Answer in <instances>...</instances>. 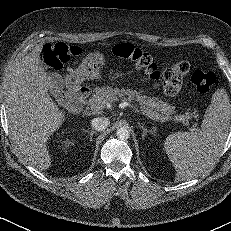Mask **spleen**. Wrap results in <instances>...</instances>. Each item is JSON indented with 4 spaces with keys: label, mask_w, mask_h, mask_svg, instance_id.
Masks as SVG:
<instances>
[{
    "label": "spleen",
    "mask_w": 231,
    "mask_h": 231,
    "mask_svg": "<svg viewBox=\"0 0 231 231\" xmlns=\"http://www.w3.org/2000/svg\"><path fill=\"white\" fill-rule=\"evenodd\" d=\"M231 119V104L222 89L214 93L201 128L195 132L170 134L164 149L178 180L192 179L206 172L220 156Z\"/></svg>",
    "instance_id": "spleen-1"
}]
</instances>
